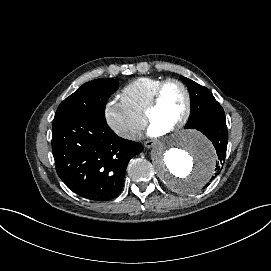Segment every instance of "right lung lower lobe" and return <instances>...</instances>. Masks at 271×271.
<instances>
[{
    "label": "right lung lower lobe",
    "mask_w": 271,
    "mask_h": 271,
    "mask_svg": "<svg viewBox=\"0 0 271 271\" xmlns=\"http://www.w3.org/2000/svg\"><path fill=\"white\" fill-rule=\"evenodd\" d=\"M142 150L140 143L118 137L105 120L74 116L52 126L58 176L91 201L115 198L123 188L129 160Z\"/></svg>",
    "instance_id": "1"
}]
</instances>
